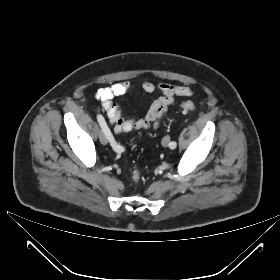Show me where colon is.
<instances>
[{
  "mask_svg": "<svg viewBox=\"0 0 280 280\" xmlns=\"http://www.w3.org/2000/svg\"><path fill=\"white\" fill-rule=\"evenodd\" d=\"M182 108L186 111H192L195 109V104L192 101H185L182 103ZM140 177H141L140 172L135 171L133 173L132 178L134 181H138L140 179Z\"/></svg>",
  "mask_w": 280,
  "mask_h": 280,
  "instance_id": "1",
  "label": "colon"
}]
</instances>
